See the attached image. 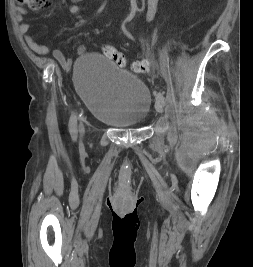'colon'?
Returning a JSON list of instances; mask_svg holds the SVG:
<instances>
[{"label": "colon", "instance_id": "colon-1", "mask_svg": "<svg viewBox=\"0 0 253 267\" xmlns=\"http://www.w3.org/2000/svg\"><path fill=\"white\" fill-rule=\"evenodd\" d=\"M16 1L19 5L34 10L41 9L50 2V0H16ZM102 50L105 56L111 59L119 67H124L126 65V58L124 57V55L113 46L104 45L102 47ZM131 69L135 73H145L149 70V62L147 60L135 61L132 63Z\"/></svg>", "mask_w": 253, "mask_h": 267}]
</instances>
